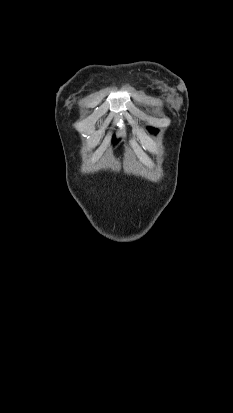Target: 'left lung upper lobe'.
Segmentation results:
<instances>
[{"mask_svg":"<svg viewBox=\"0 0 233 413\" xmlns=\"http://www.w3.org/2000/svg\"><path fill=\"white\" fill-rule=\"evenodd\" d=\"M150 131H151L152 133L157 132V130H156V129H153V128H152Z\"/></svg>","mask_w":233,"mask_h":413,"instance_id":"5c2ea615","label":"left lung upper lobe"}]
</instances>
